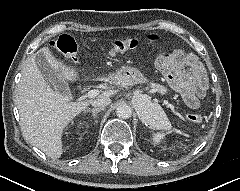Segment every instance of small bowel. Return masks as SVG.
I'll return each mask as SVG.
<instances>
[{"mask_svg":"<svg viewBox=\"0 0 240 191\" xmlns=\"http://www.w3.org/2000/svg\"><path fill=\"white\" fill-rule=\"evenodd\" d=\"M163 71L170 86L182 95L190 108H196L199 98L204 97L208 90L205 69L197 56L175 50L168 54Z\"/></svg>","mask_w":240,"mask_h":191,"instance_id":"1","label":"small bowel"}]
</instances>
